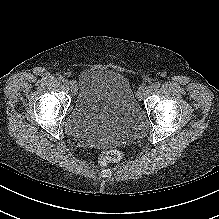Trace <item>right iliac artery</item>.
I'll use <instances>...</instances> for the list:
<instances>
[{
	"instance_id": "right-iliac-artery-1",
	"label": "right iliac artery",
	"mask_w": 219,
	"mask_h": 219,
	"mask_svg": "<svg viewBox=\"0 0 219 219\" xmlns=\"http://www.w3.org/2000/svg\"><path fill=\"white\" fill-rule=\"evenodd\" d=\"M58 79H59L60 82H64V81H66L65 78H64L63 76H60Z\"/></svg>"
}]
</instances>
